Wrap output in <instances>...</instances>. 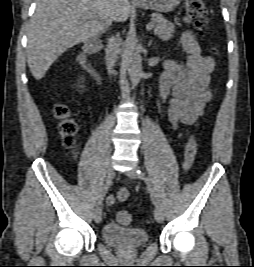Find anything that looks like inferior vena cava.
Masks as SVG:
<instances>
[{
    "instance_id": "obj_1",
    "label": "inferior vena cava",
    "mask_w": 254,
    "mask_h": 267,
    "mask_svg": "<svg viewBox=\"0 0 254 267\" xmlns=\"http://www.w3.org/2000/svg\"><path fill=\"white\" fill-rule=\"evenodd\" d=\"M118 53V37L111 36L108 39L106 48V60L109 74L112 73V68L116 63Z\"/></svg>"
}]
</instances>
